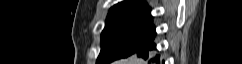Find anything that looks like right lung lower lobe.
Returning <instances> with one entry per match:
<instances>
[{"label":"right lung lower lobe","instance_id":"right-lung-lower-lobe-1","mask_svg":"<svg viewBox=\"0 0 242 64\" xmlns=\"http://www.w3.org/2000/svg\"><path fill=\"white\" fill-rule=\"evenodd\" d=\"M153 41H154V38L150 41V43L147 46L143 47L137 52V56L145 60L150 58L153 55L154 51L156 50V45H154ZM156 59H157V56H154L150 58L149 62H155ZM157 62L159 63V60H157Z\"/></svg>","mask_w":242,"mask_h":64}]
</instances>
